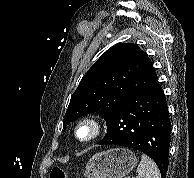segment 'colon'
<instances>
[{"instance_id":"1","label":"colon","mask_w":194,"mask_h":178,"mask_svg":"<svg viewBox=\"0 0 194 178\" xmlns=\"http://www.w3.org/2000/svg\"><path fill=\"white\" fill-rule=\"evenodd\" d=\"M50 178H67V171L61 166H54L51 169Z\"/></svg>"}]
</instances>
